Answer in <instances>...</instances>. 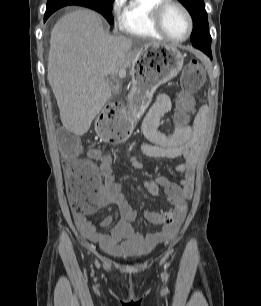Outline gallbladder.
I'll list each match as a JSON object with an SVG mask.
<instances>
[{
  "label": "gallbladder",
  "mask_w": 261,
  "mask_h": 306,
  "mask_svg": "<svg viewBox=\"0 0 261 306\" xmlns=\"http://www.w3.org/2000/svg\"><path fill=\"white\" fill-rule=\"evenodd\" d=\"M108 83H110V85L112 86V89H113V90L116 89L115 82L108 80Z\"/></svg>",
  "instance_id": "1"
}]
</instances>
